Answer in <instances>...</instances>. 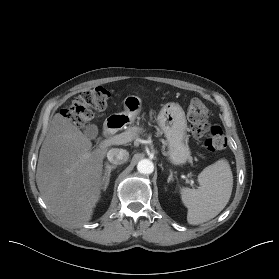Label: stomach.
<instances>
[{
	"label": "stomach",
	"mask_w": 279,
	"mask_h": 279,
	"mask_svg": "<svg viewBox=\"0 0 279 279\" xmlns=\"http://www.w3.org/2000/svg\"><path fill=\"white\" fill-rule=\"evenodd\" d=\"M124 110L117 115L133 122L141 110V99L129 95L124 99ZM158 124L166 137L168 158L174 165L184 164L190 157L189 147L185 144L187 120L184 110L177 103L165 104L158 114Z\"/></svg>",
	"instance_id": "0dacf381"
}]
</instances>
